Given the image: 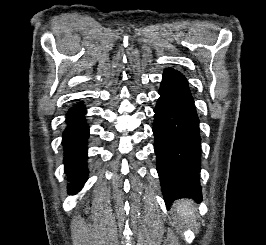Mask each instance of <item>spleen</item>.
Returning <instances> with one entry per match:
<instances>
[{"label":"spleen","instance_id":"obj_1","mask_svg":"<svg viewBox=\"0 0 266 245\" xmlns=\"http://www.w3.org/2000/svg\"><path fill=\"white\" fill-rule=\"evenodd\" d=\"M177 213L187 219V217H195V211H193V201H178L175 203Z\"/></svg>","mask_w":266,"mask_h":245}]
</instances>
